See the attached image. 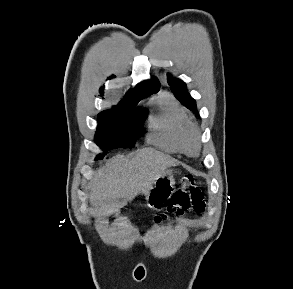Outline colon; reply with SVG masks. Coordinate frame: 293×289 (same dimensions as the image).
<instances>
[{"mask_svg": "<svg viewBox=\"0 0 293 289\" xmlns=\"http://www.w3.org/2000/svg\"><path fill=\"white\" fill-rule=\"evenodd\" d=\"M182 185V188L173 193L172 202L168 205L166 213L163 216H156L155 222H161L171 216H181L187 211L199 214L205 211L203 193L195 184V180L192 177H184Z\"/></svg>", "mask_w": 293, "mask_h": 289, "instance_id": "1", "label": "colon"}]
</instances>
